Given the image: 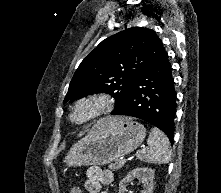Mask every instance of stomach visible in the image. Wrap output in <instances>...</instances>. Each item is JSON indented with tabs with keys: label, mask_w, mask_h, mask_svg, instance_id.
<instances>
[{
	"label": "stomach",
	"mask_w": 221,
	"mask_h": 193,
	"mask_svg": "<svg viewBox=\"0 0 221 193\" xmlns=\"http://www.w3.org/2000/svg\"><path fill=\"white\" fill-rule=\"evenodd\" d=\"M146 136L145 127L131 119L112 125L100 120L72 146L64 162L68 166L105 165L135 150Z\"/></svg>",
	"instance_id": "0dacf381"
}]
</instances>
